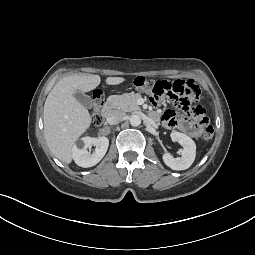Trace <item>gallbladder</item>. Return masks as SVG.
Instances as JSON below:
<instances>
[{
	"instance_id": "gallbladder-1",
	"label": "gallbladder",
	"mask_w": 255,
	"mask_h": 255,
	"mask_svg": "<svg viewBox=\"0 0 255 255\" xmlns=\"http://www.w3.org/2000/svg\"><path fill=\"white\" fill-rule=\"evenodd\" d=\"M74 96L77 99V101L85 108L87 109L92 108V99L90 96L86 95L81 91H78Z\"/></svg>"
}]
</instances>
